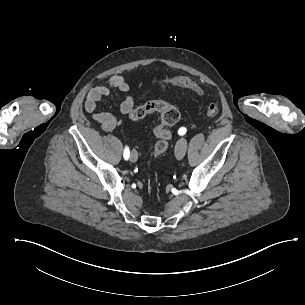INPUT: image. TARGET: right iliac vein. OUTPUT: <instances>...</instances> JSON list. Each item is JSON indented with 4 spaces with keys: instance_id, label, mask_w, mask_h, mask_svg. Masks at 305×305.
Masks as SVG:
<instances>
[{
    "instance_id": "63e3f726",
    "label": "right iliac vein",
    "mask_w": 305,
    "mask_h": 305,
    "mask_svg": "<svg viewBox=\"0 0 305 305\" xmlns=\"http://www.w3.org/2000/svg\"><path fill=\"white\" fill-rule=\"evenodd\" d=\"M137 159H138V154H137V152H136L135 150H132V151H131V155H130V160H131L132 162H136Z\"/></svg>"
}]
</instances>
